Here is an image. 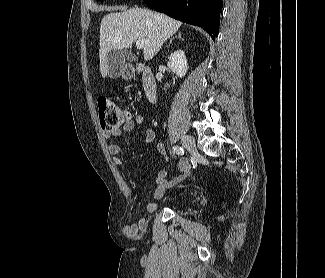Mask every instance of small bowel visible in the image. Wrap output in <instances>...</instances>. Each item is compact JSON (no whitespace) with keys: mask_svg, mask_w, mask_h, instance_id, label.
Returning <instances> with one entry per match:
<instances>
[{"mask_svg":"<svg viewBox=\"0 0 325 278\" xmlns=\"http://www.w3.org/2000/svg\"><path fill=\"white\" fill-rule=\"evenodd\" d=\"M146 123V119L142 114H137L134 118L129 119L127 122H125L121 127L114 129V130H105L103 131V136L105 138L110 137H119L122 132H132L137 126H142ZM155 129L148 125L146 127L145 132V138H144V144L149 145L151 144L155 139ZM157 149L158 151L164 155L165 148L162 142L157 143ZM108 151L113 157V162L115 165H121L122 159L121 156L124 153V148L118 144V143H112L108 146ZM192 173V167L188 159L182 158L179 161L178 164V174L173 177L172 179H169L167 176L166 170H161L158 173L157 179H156V186L154 189L153 196L155 199H160L163 197L165 191L167 188L173 187L176 184L182 182L187 177H189ZM156 204L154 202H150L148 204V209H154Z\"/></svg>","mask_w":325,"mask_h":278,"instance_id":"obj_1","label":"small bowel"}]
</instances>
